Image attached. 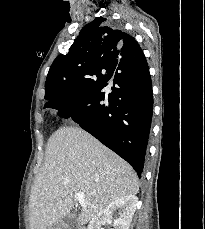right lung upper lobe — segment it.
I'll return each mask as SVG.
<instances>
[{
	"mask_svg": "<svg viewBox=\"0 0 205 229\" xmlns=\"http://www.w3.org/2000/svg\"><path fill=\"white\" fill-rule=\"evenodd\" d=\"M141 55L143 52L132 36L99 17L82 28L68 54L59 55L52 63L45 83V99L51 102L71 96L95 77H111L118 65H137Z\"/></svg>",
	"mask_w": 205,
	"mask_h": 229,
	"instance_id": "1",
	"label": "right lung upper lobe"
}]
</instances>
